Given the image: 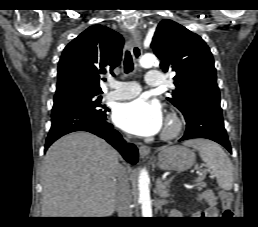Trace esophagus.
Here are the masks:
<instances>
[{
  "label": "esophagus",
  "instance_id": "obj_1",
  "mask_svg": "<svg viewBox=\"0 0 258 227\" xmlns=\"http://www.w3.org/2000/svg\"><path fill=\"white\" fill-rule=\"evenodd\" d=\"M129 42H130L132 53H133L135 59L138 60L141 56V37H140V35L137 33H133ZM139 153H140L141 158H145L149 155L150 148L146 145H142L139 148Z\"/></svg>",
  "mask_w": 258,
  "mask_h": 227
}]
</instances>
